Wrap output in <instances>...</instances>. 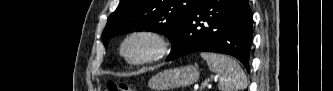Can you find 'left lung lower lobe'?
<instances>
[{
    "label": "left lung lower lobe",
    "instance_id": "obj_1",
    "mask_svg": "<svg viewBox=\"0 0 333 91\" xmlns=\"http://www.w3.org/2000/svg\"><path fill=\"white\" fill-rule=\"evenodd\" d=\"M252 23L248 0H199L171 41L166 61L210 51L234 56L249 72Z\"/></svg>",
    "mask_w": 333,
    "mask_h": 91
}]
</instances>
